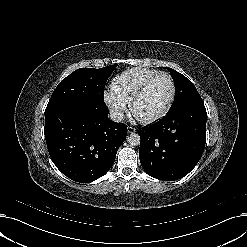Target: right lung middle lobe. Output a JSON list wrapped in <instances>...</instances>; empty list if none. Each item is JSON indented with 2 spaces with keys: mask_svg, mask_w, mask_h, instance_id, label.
I'll return each instance as SVG.
<instances>
[{
  "mask_svg": "<svg viewBox=\"0 0 247 247\" xmlns=\"http://www.w3.org/2000/svg\"><path fill=\"white\" fill-rule=\"evenodd\" d=\"M117 65L100 69L80 68L63 79L53 91L47 106L72 101L104 102V88Z\"/></svg>",
  "mask_w": 247,
  "mask_h": 247,
  "instance_id": "obj_1",
  "label": "right lung middle lobe"
}]
</instances>
